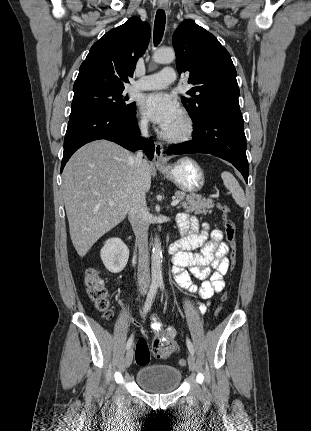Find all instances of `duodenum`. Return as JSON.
<instances>
[{"label":"duodenum","mask_w":311,"mask_h":431,"mask_svg":"<svg viewBox=\"0 0 311 431\" xmlns=\"http://www.w3.org/2000/svg\"><path fill=\"white\" fill-rule=\"evenodd\" d=\"M172 246H173V244H172V245L170 246V248H169V251H170V252H172Z\"/></svg>","instance_id":"duodenum-1"}]
</instances>
